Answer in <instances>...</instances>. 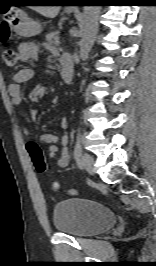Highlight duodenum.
Instances as JSON below:
<instances>
[{
  "instance_id": "obj_1",
  "label": "duodenum",
  "mask_w": 156,
  "mask_h": 266,
  "mask_svg": "<svg viewBox=\"0 0 156 266\" xmlns=\"http://www.w3.org/2000/svg\"><path fill=\"white\" fill-rule=\"evenodd\" d=\"M61 76L65 83H70L74 75L73 62L70 57L66 56L61 60Z\"/></svg>"
}]
</instances>
